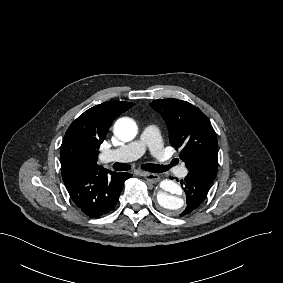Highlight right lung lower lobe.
I'll return each mask as SVG.
<instances>
[{"instance_id": "1", "label": "right lung lower lobe", "mask_w": 283, "mask_h": 283, "mask_svg": "<svg viewBox=\"0 0 283 283\" xmlns=\"http://www.w3.org/2000/svg\"><path fill=\"white\" fill-rule=\"evenodd\" d=\"M131 176L102 168L78 171L63 181L76 207L91 218H99L114 210L124 181Z\"/></svg>"}]
</instances>
